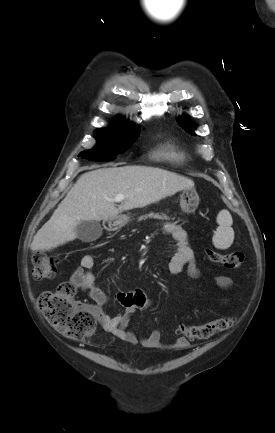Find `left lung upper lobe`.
Masks as SVG:
<instances>
[{
	"label": "left lung upper lobe",
	"instance_id": "1",
	"mask_svg": "<svg viewBox=\"0 0 275 433\" xmlns=\"http://www.w3.org/2000/svg\"><path fill=\"white\" fill-rule=\"evenodd\" d=\"M178 124L185 129V131H187L188 133H190L191 135H195L194 134V129L195 127L187 125L186 122L183 119H179L178 120Z\"/></svg>",
	"mask_w": 275,
	"mask_h": 433
}]
</instances>
